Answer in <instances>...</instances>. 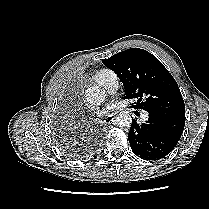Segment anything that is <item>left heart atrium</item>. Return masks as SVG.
I'll return each instance as SVG.
<instances>
[{"label":"left heart atrium","mask_w":209,"mask_h":209,"mask_svg":"<svg viewBox=\"0 0 209 209\" xmlns=\"http://www.w3.org/2000/svg\"><path fill=\"white\" fill-rule=\"evenodd\" d=\"M117 108V105L114 103L108 104L104 107V109L101 111L102 115H109L112 112H114Z\"/></svg>","instance_id":"left-heart-atrium-1"}]
</instances>
